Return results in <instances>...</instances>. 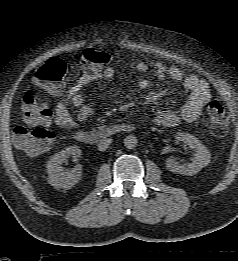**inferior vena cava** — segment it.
Listing matches in <instances>:
<instances>
[{
  "mask_svg": "<svg viewBox=\"0 0 238 261\" xmlns=\"http://www.w3.org/2000/svg\"><path fill=\"white\" fill-rule=\"evenodd\" d=\"M112 140L111 139H103L98 143V149L100 151H105L108 146L111 144Z\"/></svg>",
  "mask_w": 238,
  "mask_h": 261,
  "instance_id": "inferior-vena-cava-1",
  "label": "inferior vena cava"
}]
</instances>
